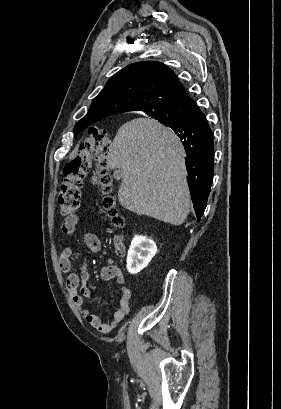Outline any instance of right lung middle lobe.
<instances>
[{
  "label": "right lung middle lobe",
  "instance_id": "1",
  "mask_svg": "<svg viewBox=\"0 0 281 409\" xmlns=\"http://www.w3.org/2000/svg\"><path fill=\"white\" fill-rule=\"evenodd\" d=\"M156 120H158L160 123H162L165 126H169L171 124H173L174 122L177 121V119L173 116H165V117H160V118H156ZM81 130H77L74 128V133L75 135L78 134Z\"/></svg>",
  "mask_w": 281,
  "mask_h": 409
}]
</instances>
